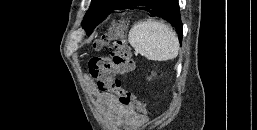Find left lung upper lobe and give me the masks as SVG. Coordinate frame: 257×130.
<instances>
[{"mask_svg": "<svg viewBox=\"0 0 257 130\" xmlns=\"http://www.w3.org/2000/svg\"><path fill=\"white\" fill-rule=\"evenodd\" d=\"M128 0H92L89 10L84 16L82 26L90 35L96 25L113 10L120 9Z\"/></svg>", "mask_w": 257, "mask_h": 130, "instance_id": "1", "label": "left lung upper lobe"}]
</instances>
